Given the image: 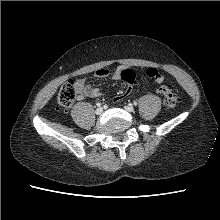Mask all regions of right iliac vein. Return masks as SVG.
Here are the masks:
<instances>
[{"label":"right iliac vein","mask_w":220,"mask_h":220,"mask_svg":"<svg viewBox=\"0 0 220 220\" xmlns=\"http://www.w3.org/2000/svg\"><path fill=\"white\" fill-rule=\"evenodd\" d=\"M102 112H103V108H102V107H98V108L95 110L96 115H101Z\"/></svg>","instance_id":"1"}]
</instances>
